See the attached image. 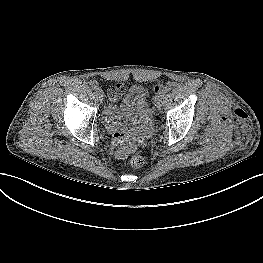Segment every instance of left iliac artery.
Masks as SVG:
<instances>
[{
  "label": "left iliac artery",
  "mask_w": 263,
  "mask_h": 263,
  "mask_svg": "<svg viewBox=\"0 0 263 263\" xmlns=\"http://www.w3.org/2000/svg\"><path fill=\"white\" fill-rule=\"evenodd\" d=\"M158 95H159L160 97H163V96H165V91H163V90H160V91L158 92Z\"/></svg>",
  "instance_id": "left-iliac-artery-1"
}]
</instances>
